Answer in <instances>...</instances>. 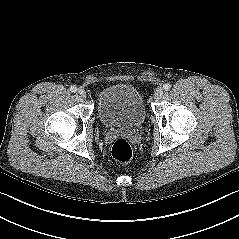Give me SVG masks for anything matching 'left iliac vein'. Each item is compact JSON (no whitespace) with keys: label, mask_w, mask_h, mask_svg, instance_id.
Listing matches in <instances>:
<instances>
[{"label":"left iliac vein","mask_w":239,"mask_h":239,"mask_svg":"<svg viewBox=\"0 0 239 239\" xmlns=\"http://www.w3.org/2000/svg\"><path fill=\"white\" fill-rule=\"evenodd\" d=\"M164 91L163 88L159 87L154 92V99H160L163 95Z\"/></svg>","instance_id":"obj_1"}]
</instances>
